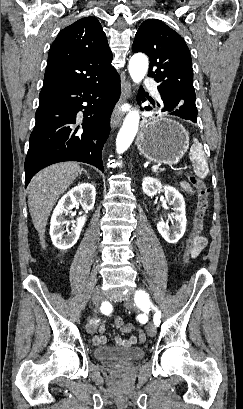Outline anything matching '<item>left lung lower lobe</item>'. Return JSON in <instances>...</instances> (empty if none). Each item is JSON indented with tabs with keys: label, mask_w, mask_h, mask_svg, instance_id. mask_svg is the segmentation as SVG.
<instances>
[{
	"label": "left lung lower lobe",
	"mask_w": 243,
	"mask_h": 409,
	"mask_svg": "<svg viewBox=\"0 0 243 409\" xmlns=\"http://www.w3.org/2000/svg\"><path fill=\"white\" fill-rule=\"evenodd\" d=\"M160 95V102L150 100L151 105L145 107L147 111L159 110L161 112H168L171 115L179 116L183 119L191 120L194 123L197 122V108L195 103L170 93L160 92ZM144 100L145 99L143 98L142 101Z\"/></svg>",
	"instance_id": "0a47b994"
}]
</instances>
